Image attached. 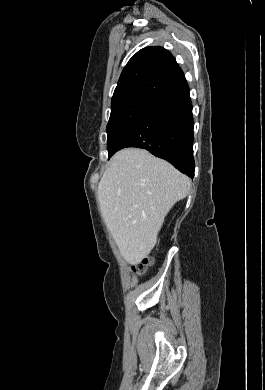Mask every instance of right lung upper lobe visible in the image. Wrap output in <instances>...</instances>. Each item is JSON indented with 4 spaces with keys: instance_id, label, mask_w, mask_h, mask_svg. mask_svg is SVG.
<instances>
[{
    "instance_id": "1",
    "label": "right lung upper lobe",
    "mask_w": 265,
    "mask_h": 390,
    "mask_svg": "<svg viewBox=\"0 0 265 390\" xmlns=\"http://www.w3.org/2000/svg\"><path fill=\"white\" fill-rule=\"evenodd\" d=\"M184 79L168 50L160 46L143 48L123 69L111 104L134 96L157 98Z\"/></svg>"
}]
</instances>
